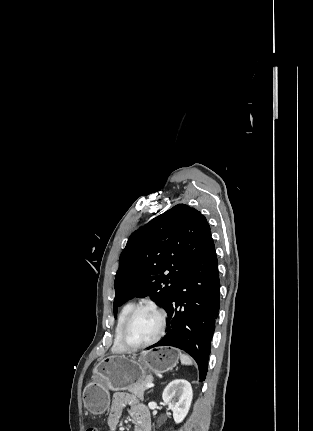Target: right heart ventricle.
I'll return each mask as SVG.
<instances>
[{"label":"right heart ventricle","instance_id":"right-heart-ventricle-1","mask_svg":"<svg viewBox=\"0 0 313 431\" xmlns=\"http://www.w3.org/2000/svg\"><path fill=\"white\" fill-rule=\"evenodd\" d=\"M134 306L135 304L133 302H127L122 306L118 314L114 331V340L112 344V351L115 353H122L126 351V349L120 343V331L127 315L133 309Z\"/></svg>","mask_w":313,"mask_h":431}]
</instances>
